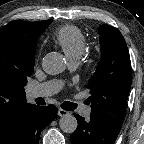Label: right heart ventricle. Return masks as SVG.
<instances>
[{
    "label": "right heart ventricle",
    "instance_id": "right-heart-ventricle-1",
    "mask_svg": "<svg viewBox=\"0 0 144 144\" xmlns=\"http://www.w3.org/2000/svg\"><path fill=\"white\" fill-rule=\"evenodd\" d=\"M54 42L59 45L69 59L77 58L85 48V35L72 24L59 27L53 34Z\"/></svg>",
    "mask_w": 144,
    "mask_h": 144
}]
</instances>
